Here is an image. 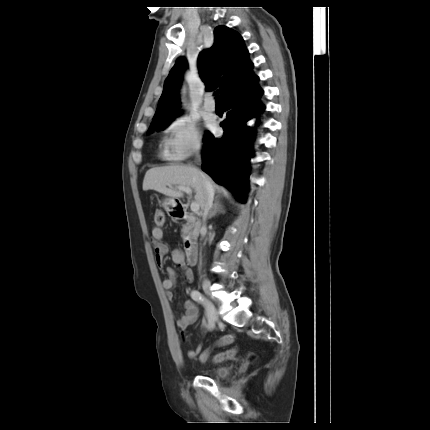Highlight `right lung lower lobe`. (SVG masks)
I'll return each instance as SVG.
<instances>
[{"instance_id": "98d812e1", "label": "right lung lower lobe", "mask_w": 430, "mask_h": 430, "mask_svg": "<svg viewBox=\"0 0 430 430\" xmlns=\"http://www.w3.org/2000/svg\"><path fill=\"white\" fill-rule=\"evenodd\" d=\"M257 76L246 78L223 99L227 118L221 123V139L207 133L204 138L202 170L217 183L230 189L236 200L246 202L249 159L253 156L254 128L247 121L264 110L260 102L263 91Z\"/></svg>"}]
</instances>
